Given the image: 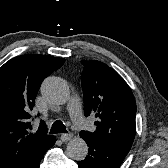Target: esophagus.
Returning a JSON list of instances; mask_svg holds the SVG:
<instances>
[{
  "mask_svg": "<svg viewBox=\"0 0 168 168\" xmlns=\"http://www.w3.org/2000/svg\"><path fill=\"white\" fill-rule=\"evenodd\" d=\"M73 138V134L72 133H67V134H62L60 139L63 141V142H67L69 140H71Z\"/></svg>",
  "mask_w": 168,
  "mask_h": 168,
  "instance_id": "1",
  "label": "esophagus"
}]
</instances>
